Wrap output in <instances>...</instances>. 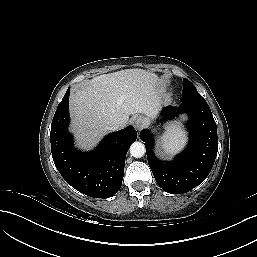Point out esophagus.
<instances>
[{
	"label": "esophagus",
	"mask_w": 257,
	"mask_h": 257,
	"mask_svg": "<svg viewBox=\"0 0 257 257\" xmlns=\"http://www.w3.org/2000/svg\"><path fill=\"white\" fill-rule=\"evenodd\" d=\"M132 124L135 127V129L139 130V129H141L144 126L145 120H144L143 117L137 116V117L133 118Z\"/></svg>",
	"instance_id": "34e87169"
}]
</instances>
